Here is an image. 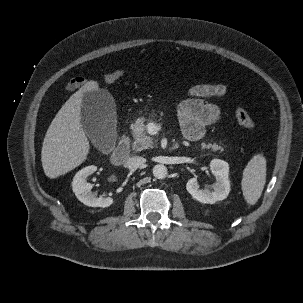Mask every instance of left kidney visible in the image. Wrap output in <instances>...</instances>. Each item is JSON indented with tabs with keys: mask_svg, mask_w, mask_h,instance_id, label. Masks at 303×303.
<instances>
[{
	"mask_svg": "<svg viewBox=\"0 0 303 303\" xmlns=\"http://www.w3.org/2000/svg\"><path fill=\"white\" fill-rule=\"evenodd\" d=\"M210 169L216 178L213 191L209 189H200L197 177H193L188 180L186 189L197 201L201 203L214 204L217 201L226 199L229 195V165L226 161L213 159L210 162Z\"/></svg>",
	"mask_w": 303,
	"mask_h": 303,
	"instance_id": "5707ae66",
	"label": "left kidney"
}]
</instances>
